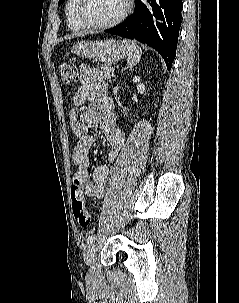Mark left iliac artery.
I'll return each mask as SVG.
<instances>
[{
  "instance_id": "obj_1",
  "label": "left iliac artery",
  "mask_w": 239,
  "mask_h": 303,
  "mask_svg": "<svg viewBox=\"0 0 239 303\" xmlns=\"http://www.w3.org/2000/svg\"><path fill=\"white\" fill-rule=\"evenodd\" d=\"M95 238H96V235H95V234L89 235L88 238H87V244H88V245L92 244L93 241L95 240Z\"/></svg>"
}]
</instances>
